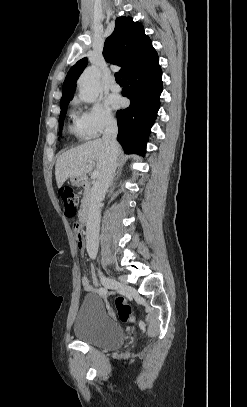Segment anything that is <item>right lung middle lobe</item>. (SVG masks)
<instances>
[{
	"mask_svg": "<svg viewBox=\"0 0 247 407\" xmlns=\"http://www.w3.org/2000/svg\"><path fill=\"white\" fill-rule=\"evenodd\" d=\"M69 102L70 101H66V102L61 103V112H60V116H59V129H60V132H61L62 127H63L64 118H65V115H66V110H67Z\"/></svg>",
	"mask_w": 247,
	"mask_h": 407,
	"instance_id": "right-lung-middle-lobe-1",
	"label": "right lung middle lobe"
}]
</instances>
